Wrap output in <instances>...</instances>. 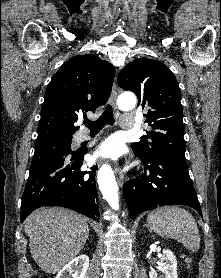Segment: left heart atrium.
Wrapping results in <instances>:
<instances>
[{
	"label": "left heart atrium",
	"instance_id": "1",
	"mask_svg": "<svg viewBox=\"0 0 221 278\" xmlns=\"http://www.w3.org/2000/svg\"><path fill=\"white\" fill-rule=\"evenodd\" d=\"M120 150L119 143L114 139L105 141L99 149L100 156H117Z\"/></svg>",
	"mask_w": 221,
	"mask_h": 278
}]
</instances>
